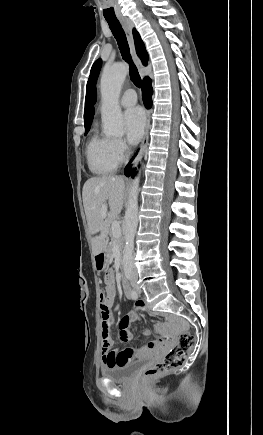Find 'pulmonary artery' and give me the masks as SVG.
Wrapping results in <instances>:
<instances>
[{"instance_id":"e3ab8cb5","label":"pulmonary artery","mask_w":263,"mask_h":435,"mask_svg":"<svg viewBox=\"0 0 263 435\" xmlns=\"http://www.w3.org/2000/svg\"><path fill=\"white\" fill-rule=\"evenodd\" d=\"M137 102V95L134 90L129 89L123 93L120 98V104L123 107H131Z\"/></svg>"}]
</instances>
